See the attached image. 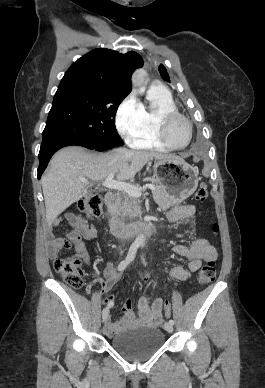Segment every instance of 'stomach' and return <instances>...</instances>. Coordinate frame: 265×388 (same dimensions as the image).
<instances>
[{
    "label": "stomach",
    "mask_w": 265,
    "mask_h": 388,
    "mask_svg": "<svg viewBox=\"0 0 265 388\" xmlns=\"http://www.w3.org/2000/svg\"><path fill=\"white\" fill-rule=\"evenodd\" d=\"M154 178L172 196L173 205L180 204L191 196L198 186L196 169L179 158L156 160Z\"/></svg>",
    "instance_id": "0dacf381"
}]
</instances>
